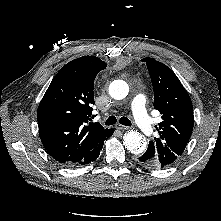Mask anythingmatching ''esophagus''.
Wrapping results in <instances>:
<instances>
[{"label":"esophagus","instance_id":"34e87169","mask_svg":"<svg viewBox=\"0 0 221 221\" xmlns=\"http://www.w3.org/2000/svg\"><path fill=\"white\" fill-rule=\"evenodd\" d=\"M115 128L118 129V130H127L128 129L127 126H124V125H121V124H116Z\"/></svg>","mask_w":221,"mask_h":221}]
</instances>
